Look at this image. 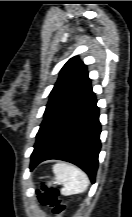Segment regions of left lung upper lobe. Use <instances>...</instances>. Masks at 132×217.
Instances as JSON below:
<instances>
[{"label":"left lung upper lobe","mask_w":132,"mask_h":217,"mask_svg":"<svg viewBox=\"0 0 132 217\" xmlns=\"http://www.w3.org/2000/svg\"><path fill=\"white\" fill-rule=\"evenodd\" d=\"M90 87L86 65L77 56L68 60L50 93L44 120L37 133V141L50 123L86 89Z\"/></svg>","instance_id":"obj_1"}]
</instances>
